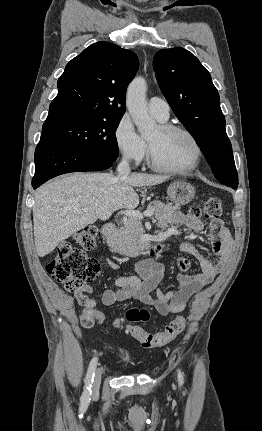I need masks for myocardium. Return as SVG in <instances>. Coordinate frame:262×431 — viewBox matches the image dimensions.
Listing matches in <instances>:
<instances>
[{"instance_id": "1", "label": "myocardium", "mask_w": 262, "mask_h": 431, "mask_svg": "<svg viewBox=\"0 0 262 431\" xmlns=\"http://www.w3.org/2000/svg\"><path fill=\"white\" fill-rule=\"evenodd\" d=\"M158 127L160 131L163 133L180 132L185 134L191 140L194 146V158L191 165L186 168H172V167L161 165L155 158L151 144L147 141L149 166L157 171L167 173V174L188 175L192 173L194 170H196L199 167L200 162L202 160L203 152H202V147L197 137L194 135V133L184 126L172 124V123H162Z\"/></svg>"}]
</instances>
